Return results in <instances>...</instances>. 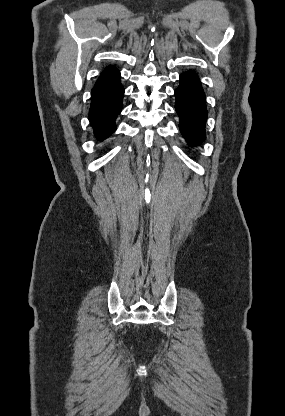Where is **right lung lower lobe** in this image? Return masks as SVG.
<instances>
[{"label":"right lung lower lobe","mask_w":285,"mask_h":416,"mask_svg":"<svg viewBox=\"0 0 285 416\" xmlns=\"http://www.w3.org/2000/svg\"><path fill=\"white\" fill-rule=\"evenodd\" d=\"M123 94L120 74L93 87L89 120L100 140L106 139L115 131V119L122 109Z\"/></svg>","instance_id":"1"}]
</instances>
